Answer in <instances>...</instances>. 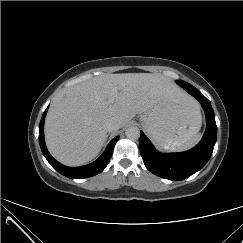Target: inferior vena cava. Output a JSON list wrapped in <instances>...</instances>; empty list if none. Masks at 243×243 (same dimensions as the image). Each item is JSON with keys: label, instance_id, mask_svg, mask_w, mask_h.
I'll return each instance as SVG.
<instances>
[{"label": "inferior vena cava", "instance_id": "1", "mask_svg": "<svg viewBox=\"0 0 243 243\" xmlns=\"http://www.w3.org/2000/svg\"><path fill=\"white\" fill-rule=\"evenodd\" d=\"M105 128L108 132L117 131L120 128V123L116 119H109L105 123Z\"/></svg>", "mask_w": 243, "mask_h": 243}]
</instances>
